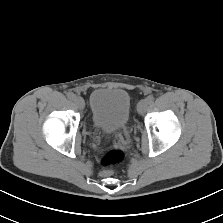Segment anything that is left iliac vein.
Wrapping results in <instances>:
<instances>
[{
  "instance_id": "4c4485c4",
  "label": "left iliac vein",
  "mask_w": 223,
  "mask_h": 223,
  "mask_svg": "<svg viewBox=\"0 0 223 223\" xmlns=\"http://www.w3.org/2000/svg\"><path fill=\"white\" fill-rule=\"evenodd\" d=\"M148 106V102L146 99L141 100L137 105V112L139 114H143L146 111V108Z\"/></svg>"
}]
</instances>
